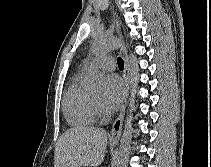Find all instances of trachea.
<instances>
[{
	"instance_id": "1",
	"label": "trachea",
	"mask_w": 211,
	"mask_h": 167,
	"mask_svg": "<svg viewBox=\"0 0 211 167\" xmlns=\"http://www.w3.org/2000/svg\"><path fill=\"white\" fill-rule=\"evenodd\" d=\"M118 67L121 70L124 68V61L121 57L118 58Z\"/></svg>"
}]
</instances>
